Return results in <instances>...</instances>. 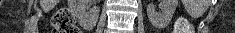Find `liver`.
Returning a JSON list of instances; mask_svg holds the SVG:
<instances>
[{
	"mask_svg": "<svg viewBox=\"0 0 235 33\" xmlns=\"http://www.w3.org/2000/svg\"><path fill=\"white\" fill-rule=\"evenodd\" d=\"M57 1L54 0H40V5L44 12H49L51 9L54 8Z\"/></svg>",
	"mask_w": 235,
	"mask_h": 33,
	"instance_id": "6515ba94",
	"label": "liver"
}]
</instances>
